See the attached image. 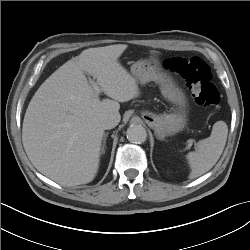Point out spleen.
Segmentation results:
<instances>
[{
  "instance_id": "1",
  "label": "spleen",
  "mask_w": 250,
  "mask_h": 250,
  "mask_svg": "<svg viewBox=\"0 0 250 250\" xmlns=\"http://www.w3.org/2000/svg\"><path fill=\"white\" fill-rule=\"evenodd\" d=\"M228 135V127L224 121L214 123L211 135L200 140L195 151L187 154L186 158L191 168L189 178H197L209 171L219 160Z\"/></svg>"
}]
</instances>
